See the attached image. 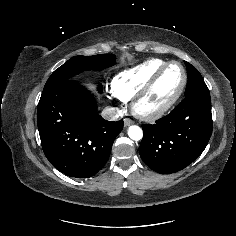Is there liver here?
<instances>
[{
  "label": "liver",
  "instance_id": "1",
  "mask_svg": "<svg viewBox=\"0 0 236 236\" xmlns=\"http://www.w3.org/2000/svg\"><path fill=\"white\" fill-rule=\"evenodd\" d=\"M87 86H88L90 89H92V85H90V84H87Z\"/></svg>",
  "mask_w": 236,
  "mask_h": 236
}]
</instances>
